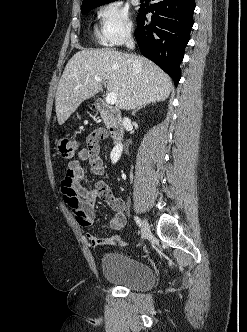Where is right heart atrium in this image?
<instances>
[{"label":"right heart atrium","instance_id":"right-heart-atrium-1","mask_svg":"<svg viewBox=\"0 0 247 332\" xmlns=\"http://www.w3.org/2000/svg\"><path fill=\"white\" fill-rule=\"evenodd\" d=\"M101 40L109 46L126 42L133 31L128 9L118 0H111L98 10Z\"/></svg>","mask_w":247,"mask_h":332}]
</instances>
